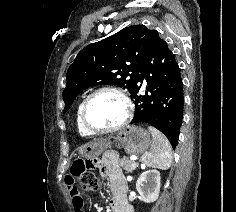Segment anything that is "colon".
Listing matches in <instances>:
<instances>
[{
	"mask_svg": "<svg viewBox=\"0 0 236 212\" xmlns=\"http://www.w3.org/2000/svg\"><path fill=\"white\" fill-rule=\"evenodd\" d=\"M73 174L78 175L80 187L84 190H95L98 187V179L95 172V164L91 161H77L73 166Z\"/></svg>",
	"mask_w": 236,
	"mask_h": 212,
	"instance_id": "colon-1",
	"label": "colon"
}]
</instances>
